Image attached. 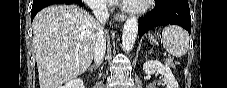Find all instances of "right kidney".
<instances>
[{
    "label": "right kidney",
    "instance_id": "ca27d5eb",
    "mask_svg": "<svg viewBox=\"0 0 227 88\" xmlns=\"http://www.w3.org/2000/svg\"><path fill=\"white\" fill-rule=\"evenodd\" d=\"M60 88H84V83L83 80L80 78L72 79Z\"/></svg>",
    "mask_w": 227,
    "mask_h": 88
}]
</instances>
